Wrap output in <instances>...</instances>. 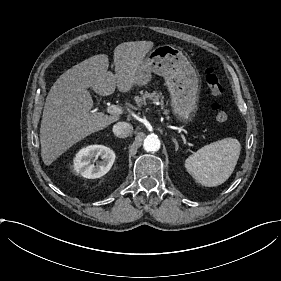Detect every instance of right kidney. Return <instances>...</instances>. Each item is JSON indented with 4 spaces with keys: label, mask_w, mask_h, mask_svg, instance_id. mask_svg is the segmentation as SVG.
Segmentation results:
<instances>
[{
    "label": "right kidney",
    "mask_w": 281,
    "mask_h": 281,
    "mask_svg": "<svg viewBox=\"0 0 281 281\" xmlns=\"http://www.w3.org/2000/svg\"><path fill=\"white\" fill-rule=\"evenodd\" d=\"M94 157H100L102 162L91 164ZM115 152L101 144L87 145L78 150L73 157L74 172L86 179H95L105 175L115 161Z\"/></svg>",
    "instance_id": "right-kidney-1"
}]
</instances>
